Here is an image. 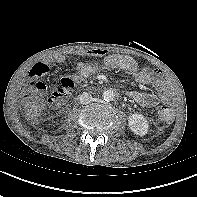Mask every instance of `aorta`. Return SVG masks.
I'll return each mask as SVG.
<instances>
[{
  "mask_svg": "<svg viewBox=\"0 0 197 197\" xmlns=\"http://www.w3.org/2000/svg\"><path fill=\"white\" fill-rule=\"evenodd\" d=\"M102 96H103V99L107 102L112 101L115 98V94L113 90H105Z\"/></svg>",
  "mask_w": 197,
  "mask_h": 197,
  "instance_id": "762f6f07",
  "label": "aorta"
}]
</instances>
